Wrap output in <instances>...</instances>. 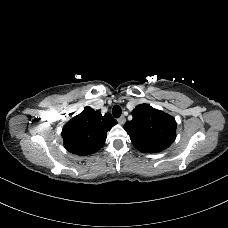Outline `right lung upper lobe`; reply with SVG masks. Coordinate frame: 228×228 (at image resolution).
<instances>
[{"label":"right lung upper lobe","mask_w":228,"mask_h":228,"mask_svg":"<svg viewBox=\"0 0 228 228\" xmlns=\"http://www.w3.org/2000/svg\"><path fill=\"white\" fill-rule=\"evenodd\" d=\"M117 121L111 114L102 115L91 107H86L72 118L62 129L66 150L76 155H89L102 148L109 131Z\"/></svg>","instance_id":"obj_1"}]
</instances>
